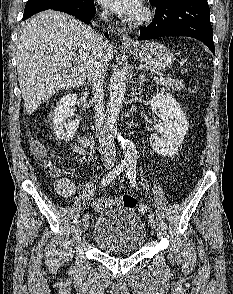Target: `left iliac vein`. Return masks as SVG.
Returning a JSON list of instances; mask_svg holds the SVG:
<instances>
[{"label":"left iliac vein","instance_id":"left-iliac-vein-1","mask_svg":"<svg viewBox=\"0 0 233 294\" xmlns=\"http://www.w3.org/2000/svg\"><path fill=\"white\" fill-rule=\"evenodd\" d=\"M148 224L152 229H154L156 227V222H155L154 218H149Z\"/></svg>","mask_w":233,"mask_h":294}]
</instances>
